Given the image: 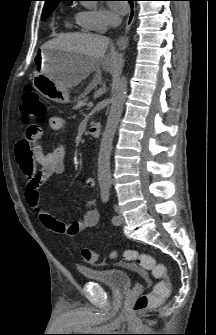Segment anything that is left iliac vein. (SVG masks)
<instances>
[{"mask_svg": "<svg viewBox=\"0 0 216 335\" xmlns=\"http://www.w3.org/2000/svg\"><path fill=\"white\" fill-rule=\"evenodd\" d=\"M116 212H117V217L118 220L116 223H114L115 225H121L124 222V217L120 211V209L118 207H116Z\"/></svg>", "mask_w": 216, "mask_h": 335, "instance_id": "1", "label": "left iliac vein"}]
</instances>
